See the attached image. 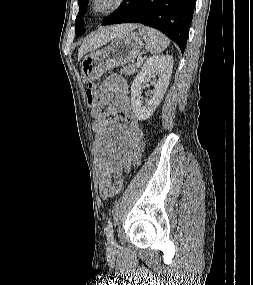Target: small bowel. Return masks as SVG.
I'll return each mask as SVG.
<instances>
[{
  "label": "small bowel",
  "instance_id": "1",
  "mask_svg": "<svg viewBox=\"0 0 253 285\" xmlns=\"http://www.w3.org/2000/svg\"><path fill=\"white\" fill-rule=\"evenodd\" d=\"M128 85L117 74L101 84L91 111L95 117L92 129L96 134L98 186L105 200L116 195L113 176L129 169L144 150L143 131L131 111Z\"/></svg>",
  "mask_w": 253,
  "mask_h": 285
}]
</instances>
